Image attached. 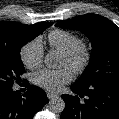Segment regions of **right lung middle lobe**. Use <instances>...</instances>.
Returning <instances> with one entry per match:
<instances>
[{
    "label": "right lung middle lobe",
    "mask_w": 119,
    "mask_h": 119,
    "mask_svg": "<svg viewBox=\"0 0 119 119\" xmlns=\"http://www.w3.org/2000/svg\"><path fill=\"white\" fill-rule=\"evenodd\" d=\"M51 25L50 22L19 24L0 34V89L12 87L15 81L20 82V75L24 72L21 47Z\"/></svg>",
    "instance_id": "1"
}]
</instances>
